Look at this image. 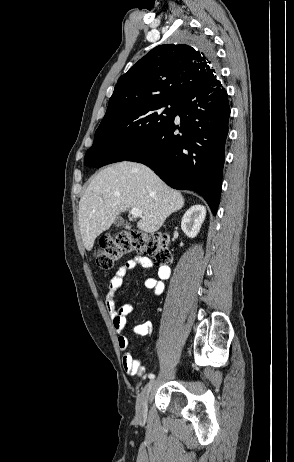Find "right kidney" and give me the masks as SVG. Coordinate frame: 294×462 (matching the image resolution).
Segmentation results:
<instances>
[{
  "mask_svg": "<svg viewBox=\"0 0 294 462\" xmlns=\"http://www.w3.org/2000/svg\"><path fill=\"white\" fill-rule=\"evenodd\" d=\"M206 217V208L201 204L190 207L181 221L182 231L189 237L194 238L200 231Z\"/></svg>",
  "mask_w": 294,
  "mask_h": 462,
  "instance_id": "ca27d5eb",
  "label": "right kidney"
}]
</instances>
